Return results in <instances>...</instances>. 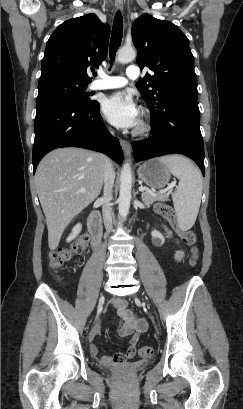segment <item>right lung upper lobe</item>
Returning <instances> with one entry per match:
<instances>
[{"label": "right lung upper lobe", "instance_id": "right-lung-upper-lobe-1", "mask_svg": "<svg viewBox=\"0 0 243 409\" xmlns=\"http://www.w3.org/2000/svg\"><path fill=\"white\" fill-rule=\"evenodd\" d=\"M109 36V25L93 13L65 21L47 42L40 79L64 76L90 83L89 67H98L106 57Z\"/></svg>", "mask_w": 243, "mask_h": 409}]
</instances>
